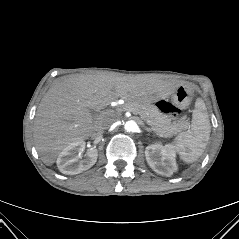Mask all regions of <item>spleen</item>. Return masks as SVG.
Masks as SVG:
<instances>
[{"instance_id":"obj_1","label":"spleen","mask_w":239,"mask_h":239,"mask_svg":"<svg viewBox=\"0 0 239 239\" xmlns=\"http://www.w3.org/2000/svg\"><path fill=\"white\" fill-rule=\"evenodd\" d=\"M210 132L211 125L205 103L198 98L192 114L191 129L174 139V147L180 159L187 164L197 161L205 151Z\"/></svg>"}]
</instances>
